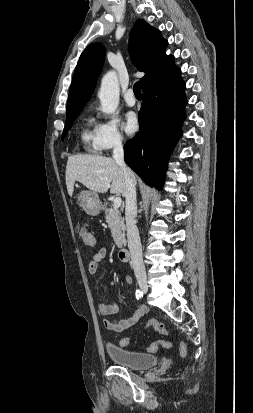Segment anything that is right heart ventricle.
I'll return each mask as SVG.
<instances>
[{
    "label": "right heart ventricle",
    "mask_w": 253,
    "mask_h": 413,
    "mask_svg": "<svg viewBox=\"0 0 253 413\" xmlns=\"http://www.w3.org/2000/svg\"><path fill=\"white\" fill-rule=\"evenodd\" d=\"M81 143L83 148L89 152H97L98 149L95 143L94 129H90V122H87L81 129L80 134Z\"/></svg>",
    "instance_id": "right-heart-ventricle-1"
}]
</instances>
